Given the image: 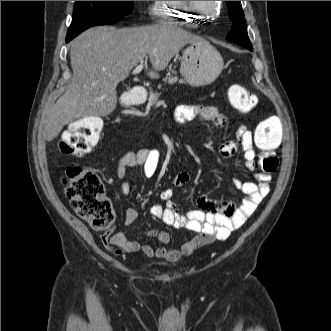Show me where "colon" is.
<instances>
[{
    "mask_svg": "<svg viewBox=\"0 0 331 331\" xmlns=\"http://www.w3.org/2000/svg\"><path fill=\"white\" fill-rule=\"evenodd\" d=\"M231 105L246 112L255 105V97L241 85H232L228 90ZM103 122L97 117H85L74 121L63 133L59 143L62 153L76 157L86 155L99 141ZM283 121L277 116L263 120L257 127L255 142L266 150L258 160L262 173L274 172L278 157L273 152L282 141ZM65 192L73 210L97 230H109L115 221V213L107 198L102 181L92 170L78 164L70 165L64 176Z\"/></svg>",
    "mask_w": 331,
    "mask_h": 331,
    "instance_id": "1",
    "label": "colon"
}]
</instances>
